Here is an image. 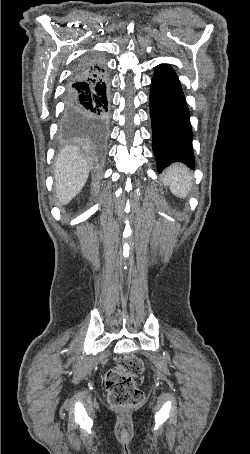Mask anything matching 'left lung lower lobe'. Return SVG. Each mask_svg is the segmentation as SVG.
Here are the masks:
<instances>
[{
    "label": "left lung lower lobe",
    "mask_w": 250,
    "mask_h": 454,
    "mask_svg": "<svg viewBox=\"0 0 250 454\" xmlns=\"http://www.w3.org/2000/svg\"><path fill=\"white\" fill-rule=\"evenodd\" d=\"M149 107L158 172L174 162H182L194 169L190 113L179 79L168 64L155 68Z\"/></svg>",
    "instance_id": "obj_1"
}]
</instances>
